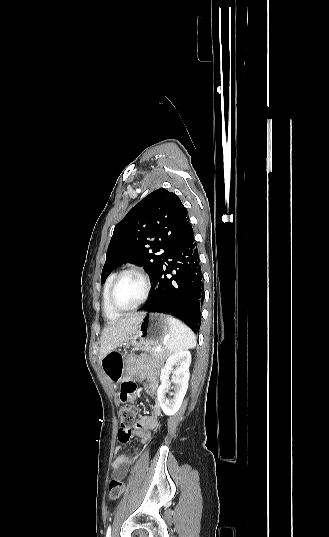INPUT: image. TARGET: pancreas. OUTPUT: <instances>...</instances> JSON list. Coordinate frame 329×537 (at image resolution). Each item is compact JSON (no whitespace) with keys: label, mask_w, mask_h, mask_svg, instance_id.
<instances>
[{"label":"pancreas","mask_w":329,"mask_h":537,"mask_svg":"<svg viewBox=\"0 0 329 537\" xmlns=\"http://www.w3.org/2000/svg\"><path fill=\"white\" fill-rule=\"evenodd\" d=\"M136 350H142V351H146V352L150 353L151 358L154 361L159 362L161 364L165 361V359L168 356V352L165 349H162L161 351L157 352L155 350V348L144 346L142 348H136Z\"/></svg>","instance_id":"obj_1"}]
</instances>
